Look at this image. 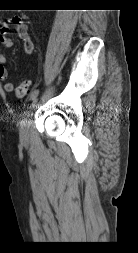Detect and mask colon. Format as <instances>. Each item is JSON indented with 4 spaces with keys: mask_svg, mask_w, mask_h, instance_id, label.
I'll return each mask as SVG.
<instances>
[{
    "mask_svg": "<svg viewBox=\"0 0 138 253\" xmlns=\"http://www.w3.org/2000/svg\"><path fill=\"white\" fill-rule=\"evenodd\" d=\"M30 92V82L27 79L21 80L15 88V94L18 98H24Z\"/></svg>",
    "mask_w": 138,
    "mask_h": 253,
    "instance_id": "5ec220e1",
    "label": "colon"
}]
</instances>
